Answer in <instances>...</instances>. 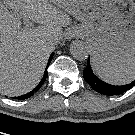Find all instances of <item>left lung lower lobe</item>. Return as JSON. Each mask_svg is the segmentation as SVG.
Here are the masks:
<instances>
[{
    "label": "left lung lower lobe",
    "mask_w": 135,
    "mask_h": 135,
    "mask_svg": "<svg viewBox=\"0 0 135 135\" xmlns=\"http://www.w3.org/2000/svg\"><path fill=\"white\" fill-rule=\"evenodd\" d=\"M83 77L96 92L108 96L120 95L126 92L127 90L131 89L133 86H135V80L129 84L122 85V86H115L103 82L102 80H100L94 75L90 66L89 58H88V64L85 70L83 71Z\"/></svg>",
    "instance_id": "1"
}]
</instances>
